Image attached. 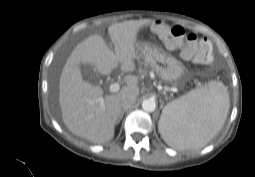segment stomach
<instances>
[{
  "mask_svg": "<svg viewBox=\"0 0 255 177\" xmlns=\"http://www.w3.org/2000/svg\"><path fill=\"white\" fill-rule=\"evenodd\" d=\"M138 49L140 57L164 81L174 82L181 78L184 67L176 58L167 54L159 47L148 43L138 45Z\"/></svg>",
  "mask_w": 255,
  "mask_h": 177,
  "instance_id": "1",
  "label": "stomach"
}]
</instances>
